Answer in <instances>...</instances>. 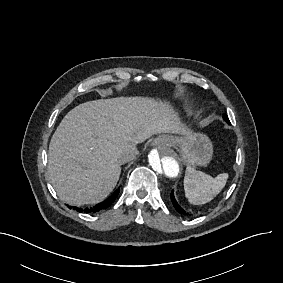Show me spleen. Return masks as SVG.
Returning <instances> with one entry per match:
<instances>
[{
  "mask_svg": "<svg viewBox=\"0 0 283 283\" xmlns=\"http://www.w3.org/2000/svg\"><path fill=\"white\" fill-rule=\"evenodd\" d=\"M228 174L223 172L211 177L187 165L184 178L186 197L192 204H205L212 200L225 186Z\"/></svg>",
  "mask_w": 283,
  "mask_h": 283,
  "instance_id": "1",
  "label": "spleen"
}]
</instances>
